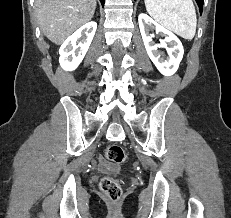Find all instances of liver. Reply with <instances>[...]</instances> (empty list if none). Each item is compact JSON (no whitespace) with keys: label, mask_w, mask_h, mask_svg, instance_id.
Segmentation results:
<instances>
[{"label":"liver","mask_w":231,"mask_h":218,"mask_svg":"<svg viewBox=\"0 0 231 218\" xmlns=\"http://www.w3.org/2000/svg\"><path fill=\"white\" fill-rule=\"evenodd\" d=\"M35 7L42 32L60 45L92 19L96 0H36Z\"/></svg>","instance_id":"liver-1"}]
</instances>
